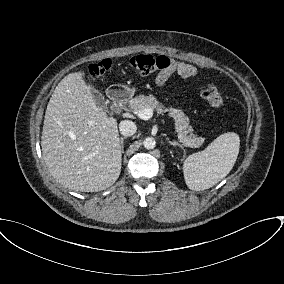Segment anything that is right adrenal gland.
I'll return each instance as SVG.
<instances>
[{"mask_svg":"<svg viewBox=\"0 0 284 284\" xmlns=\"http://www.w3.org/2000/svg\"><path fill=\"white\" fill-rule=\"evenodd\" d=\"M124 139H126V137H121L120 138V147H121V152L124 153Z\"/></svg>","mask_w":284,"mask_h":284,"instance_id":"1","label":"right adrenal gland"}]
</instances>
